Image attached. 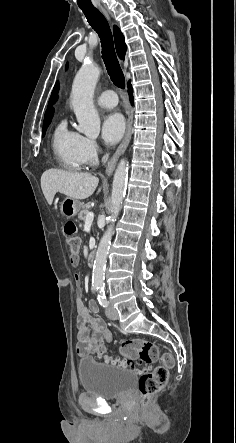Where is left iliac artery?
Wrapping results in <instances>:
<instances>
[{
	"label": "left iliac artery",
	"mask_w": 236,
	"mask_h": 443,
	"mask_svg": "<svg viewBox=\"0 0 236 443\" xmlns=\"http://www.w3.org/2000/svg\"><path fill=\"white\" fill-rule=\"evenodd\" d=\"M98 301H99V304L101 306H103V307H107L108 306V301L106 299L104 287H101L100 290H99Z\"/></svg>",
	"instance_id": "1"
}]
</instances>
